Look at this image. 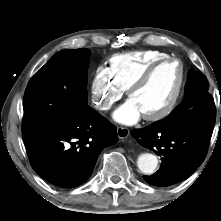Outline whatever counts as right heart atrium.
Wrapping results in <instances>:
<instances>
[{"instance_id": "d8ad5b80", "label": "right heart atrium", "mask_w": 221, "mask_h": 221, "mask_svg": "<svg viewBox=\"0 0 221 221\" xmlns=\"http://www.w3.org/2000/svg\"><path fill=\"white\" fill-rule=\"evenodd\" d=\"M125 90L113 79L108 68L98 66L91 80V98L99 111H108L119 101Z\"/></svg>"}]
</instances>
